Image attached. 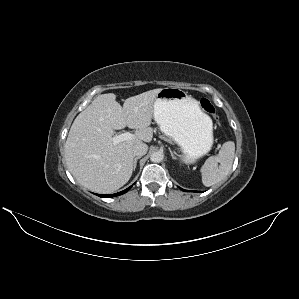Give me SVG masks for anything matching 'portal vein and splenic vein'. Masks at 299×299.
Returning a JSON list of instances; mask_svg holds the SVG:
<instances>
[{
    "label": "portal vein and splenic vein",
    "instance_id": "obj_1",
    "mask_svg": "<svg viewBox=\"0 0 299 299\" xmlns=\"http://www.w3.org/2000/svg\"><path fill=\"white\" fill-rule=\"evenodd\" d=\"M134 137H135L134 134L127 131L123 134L112 137L111 141L113 142L114 145H117L120 142L132 140L134 139Z\"/></svg>",
    "mask_w": 299,
    "mask_h": 299
}]
</instances>
